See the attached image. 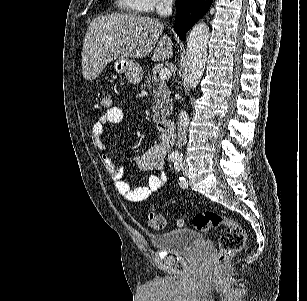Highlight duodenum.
I'll list each match as a JSON object with an SVG mask.
<instances>
[{"label": "duodenum", "instance_id": "410a0bca", "mask_svg": "<svg viewBox=\"0 0 307 301\" xmlns=\"http://www.w3.org/2000/svg\"><path fill=\"white\" fill-rule=\"evenodd\" d=\"M158 129L162 132L171 134L176 130V121L170 117H163L157 121Z\"/></svg>", "mask_w": 307, "mask_h": 301}]
</instances>
